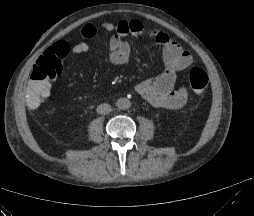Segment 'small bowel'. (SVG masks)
<instances>
[{
  "label": "small bowel",
  "mask_w": 254,
  "mask_h": 216,
  "mask_svg": "<svg viewBox=\"0 0 254 216\" xmlns=\"http://www.w3.org/2000/svg\"><path fill=\"white\" fill-rule=\"evenodd\" d=\"M103 32L110 35L108 60L112 65H122L127 62L131 53L129 42L125 39L129 35H145L162 46L165 70L155 79H147L136 86L137 93L155 107L178 109L188 100V92L183 86H176L177 72L187 68L192 63V56L177 41L167 33L151 26H145L138 20L120 21L116 24L106 22ZM98 33L94 24L88 23L81 28V35L85 39H93ZM64 44V50L59 48ZM87 42H80L70 46L60 41L47 49L52 52L69 54H83L88 52ZM45 51V52H46ZM44 52V53H45ZM51 90L48 97L50 96Z\"/></svg>",
  "instance_id": "c3829d8e"
}]
</instances>
